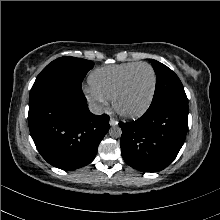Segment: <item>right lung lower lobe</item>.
<instances>
[{
  "instance_id": "obj_1",
  "label": "right lung lower lobe",
  "mask_w": 220,
  "mask_h": 220,
  "mask_svg": "<svg viewBox=\"0 0 220 220\" xmlns=\"http://www.w3.org/2000/svg\"><path fill=\"white\" fill-rule=\"evenodd\" d=\"M29 129L37 150L52 166L74 170L89 164L108 132L109 117L93 115L81 83L50 80L32 87Z\"/></svg>"
}]
</instances>
